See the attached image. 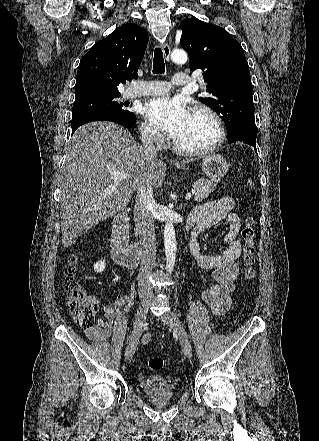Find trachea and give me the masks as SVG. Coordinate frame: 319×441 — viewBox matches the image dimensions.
<instances>
[{
	"label": "trachea",
	"instance_id": "1",
	"mask_svg": "<svg viewBox=\"0 0 319 441\" xmlns=\"http://www.w3.org/2000/svg\"><path fill=\"white\" fill-rule=\"evenodd\" d=\"M165 72V63L163 59V53L161 48L157 47L154 51V60H153V73H164Z\"/></svg>",
	"mask_w": 319,
	"mask_h": 441
}]
</instances>
